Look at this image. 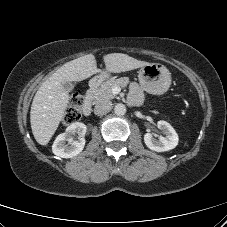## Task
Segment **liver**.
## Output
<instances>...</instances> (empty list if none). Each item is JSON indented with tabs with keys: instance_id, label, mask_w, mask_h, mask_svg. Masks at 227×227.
Here are the masks:
<instances>
[{
	"instance_id": "obj_1",
	"label": "liver",
	"mask_w": 227,
	"mask_h": 227,
	"mask_svg": "<svg viewBox=\"0 0 227 227\" xmlns=\"http://www.w3.org/2000/svg\"><path fill=\"white\" fill-rule=\"evenodd\" d=\"M106 70L121 73L148 65L127 54L111 53L103 56ZM100 72L93 54L65 63L52 74L36 92L30 111L31 129L40 145H47L58 128L67 108L69 94L63 83L80 82Z\"/></svg>"
}]
</instances>
